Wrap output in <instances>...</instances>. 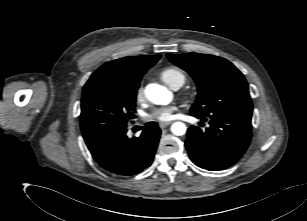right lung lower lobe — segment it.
Here are the masks:
<instances>
[{
    "instance_id": "right-lung-lower-lobe-1",
    "label": "right lung lower lobe",
    "mask_w": 307,
    "mask_h": 221,
    "mask_svg": "<svg viewBox=\"0 0 307 221\" xmlns=\"http://www.w3.org/2000/svg\"><path fill=\"white\" fill-rule=\"evenodd\" d=\"M142 130L139 137L129 139L126 127L121 128L87 147L106 171L118 176L135 175L151 165L161 134L155 122L147 123Z\"/></svg>"
}]
</instances>
